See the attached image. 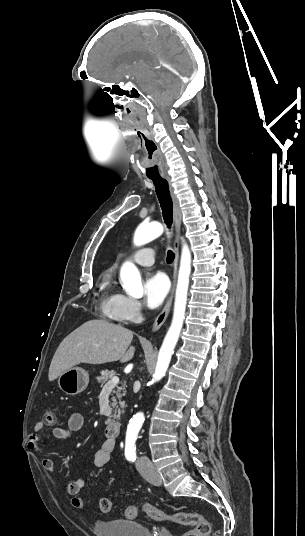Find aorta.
<instances>
[{"label": "aorta", "mask_w": 305, "mask_h": 536, "mask_svg": "<svg viewBox=\"0 0 305 536\" xmlns=\"http://www.w3.org/2000/svg\"><path fill=\"white\" fill-rule=\"evenodd\" d=\"M163 231L164 228L159 222L140 224L135 231L133 243L135 246H142L161 236ZM190 273L191 252L188 245L183 241L172 323L160 348L152 382H157L165 376L174 353V348L179 339L185 319ZM120 282L124 291L129 296L134 298H141L143 296L141 276L137 267L132 262L126 261L122 265L120 270ZM143 422L144 414L138 412L132 417L130 427L138 430Z\"/></svg>", "instance_id": "1"}]
</instances>
